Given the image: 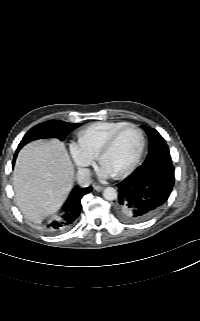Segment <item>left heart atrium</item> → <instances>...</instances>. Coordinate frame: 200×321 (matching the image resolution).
Here are the masks:
<instances>
[{
  "label": "left heart atrium",
  "instance_id": "1",
  "mask_svg": "<svg viewBox=\"0 0 200 321\" xmlns=\"http://www.w3.org/2000/svg\"><path fill=\"white\" fill-rule=\"evenodd\" d=\"M99 174L102 177H109V176H113L104 166L101 165L100 170H99Z\"/></svg>",
  "mask_w": 200,
  "mask_h": 321
}]
</instances>
